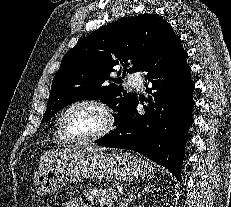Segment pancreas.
Wrapping results in <instances>:
<instances>
[{
  "instance_id": "1",
  "label": "pancreas",
  "mask_w": 231,
  "mask_h": 207,
  "mask_svg": "<svg viewBox=\"0 0 231 207\" xmlns=\"http://www.w3.org/2000/svg\"><path fill=\"white\" fill-rule=\"evenodd\" d=\"M117 190L115 188H93L90 189L86 194V198L91 202L99 204L100 207L105 205L110 206L117 199Z\"/></svg>"
}]
</instances>
